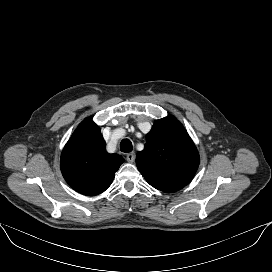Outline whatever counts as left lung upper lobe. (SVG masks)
<instances>
[{"instance_id":"1","label":"left lung upper lobe","mask_w":272,"mask_h":272,"mask_svg":"<svg viewBox=\"0 0 272 272\" xmlns=\"http://www.w3.org/2000/svg\"><path fill=\"white\" fill-rule=\"evenodd\" d=\"M199 153L184 127L172 116L157 120L146 135L136 165L146 181L166 193L185 187L194 177Z\"/></svg>"}]
</instances>
